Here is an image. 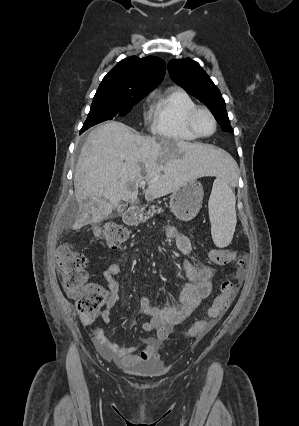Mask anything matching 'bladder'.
I'll list each match as a JSON object with an SVG mask.
<instances>
[{
	"instance_id": "bladder-1",
	"label": "bladder",
	"mask_w": 299,
	"mask_h": 426,
	"mask_svg": "<svg viewBox=\"0 0 299 426\" xmlns=\"http://www.w3.org/2000/svg\"><path fill=\"white\" fill-rule=\"evenodd\" d=\"M126 371L141 378H157L164 373V367L155 363H141L135 366L126 367Z\"/></svg>"
}]
</instances>
